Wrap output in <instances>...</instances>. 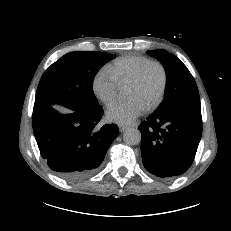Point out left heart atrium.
<instances>
[{
	"label": "left heart atrium",
	"mask_w": 231,
	"mask_h": 231,
	"mask_svg": "<svg viewBox=\"0 0 231 231\" xmlns=\"http://www.w3.org/2000/svg\"><path fill=\"white\" fill-rule=\"evenodd\" d=\"M146 106L138 99L131 98L124 102L112 103L106 112L107 119L117 124H129L142 115Z\"/></svg>",
	"instance_id": "39dd6f15"
}]
</instances>
